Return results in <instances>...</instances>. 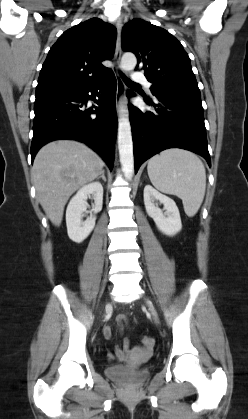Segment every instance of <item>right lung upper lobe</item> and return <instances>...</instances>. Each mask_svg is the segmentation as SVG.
Wrapping results in <instances>:
<instances>
[{"label":"right lung upper lobe","instance_id":"obj_1","mask_svg":"<svg viewBox=\"0 0 248 419\" xmlns=\"http://www.w3.org/2000/svg\"><path fill=\"white\" fill-rule=\"evenodd\" d=\"M116 28L92 18L65 31L42 66L36 95L75 90L101 80L111 71L102 65L114 54Z\"/></svg>","mask_w":248,"mask_h":419}]
</instances>
